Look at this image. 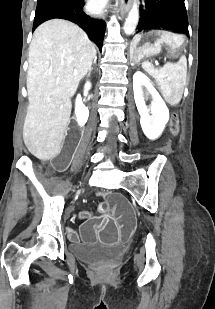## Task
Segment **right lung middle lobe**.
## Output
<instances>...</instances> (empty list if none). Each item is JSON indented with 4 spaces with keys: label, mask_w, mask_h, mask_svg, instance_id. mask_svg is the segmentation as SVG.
Wrapping results in <instances>:
<instances>
[{
    "label": "right lung middle lobe",
    "mask_w": 215,
    "mask_h": 309,
    "mask_svg": "<svg viewBox=\"0 0 215 309\" xmlns=\"http://www.w3.org/2000/svg\"><path fill=\"white\" fill-rule=\"evenodd\" d=\"M51 4H58V5H65V6H82L84 5L83 0H37V8L39 10L44 6L51 5Z\"/></svg>",
    "instance_id": "obj_1"
}]
</instances>
